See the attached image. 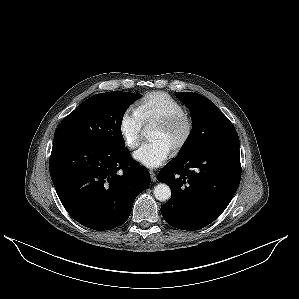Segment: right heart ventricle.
<instances>
[{"label":"right heart ventricle","instance_id":"right-heart-ventricle-1","mask_svg":"<svg viewBox=\"0 0 299 299\" xmlns=\"http://www.w3.org/2000/svg\"><path fill=\"white\" fill-rule=\"evenodd\" d=\"M136 111L146 127L185 114L184 106L165 92L146 94L137 104Z\"/></svg>","mask_w":299,"mask_h":299}]
</instances>
